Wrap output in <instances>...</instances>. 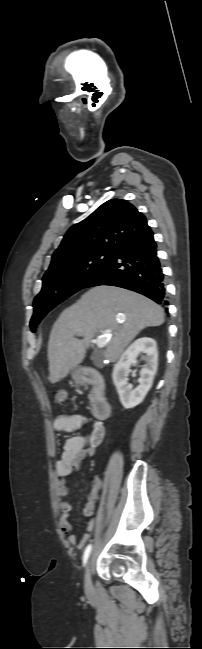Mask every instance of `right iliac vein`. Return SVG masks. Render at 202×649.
<instances>
[{
    "mask_svg": "<svg viewBox=\"0 0 202 649\" xmlns=\"http://www.w3.org/2000/svg\"><path fill=\"white\" fill-rule=\"evenodd\" d=\"M91 567H92V558L90 557L87 560L85 574H84V587L86 593H91L92 591V582H91Z\"/></svg>",
    "mask_w": 202,
    "mask_h": 649,
    "instance_id": "right-iliac-vein-1",
    "label": "right iliac vein"
}]
</instances>
